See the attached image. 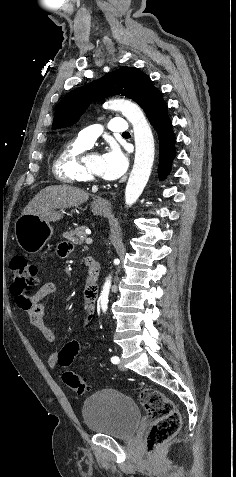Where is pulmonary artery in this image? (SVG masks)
Wrapping results in <instances>:
<instances>
[{"label":"pulmonary artery","mask_w":236,"mask_h":477,"mask_svg":"<svg viewBox=\"0 0 236 477\" xmlns=\"http://www.w3.org/2000/svg\"><path fill=\"white\" fill-rule=\"evenodd\" d=\"M107 130L116 133L129 131L128 123L123 118H112L107 124ZM101 126L92 125L78 133L77 141L83 145L91 147L100 134Z\"/></svg>","instance_id":"pulmonary-artery-1"}]
</instances>
